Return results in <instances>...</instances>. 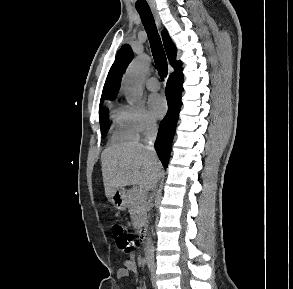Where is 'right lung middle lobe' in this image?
Returning <instances> with one entry per match:
<instances>
[{"label":"right lung middle lobe","mask_w":293,"mask_h":289,"mask_svg":"<svg viewBox=\"0 0 293 289\" xmlns=\"http://www.w3.org/2000/svg\"><path fill=\"white\" fill-rule=\"evenodd\" d=\"M103 101L100 102V110H99V119H100V127H101V134H105V125L108 121V110L101 111Z\"/></svg>","instance_id":"1"}]
</instances>
